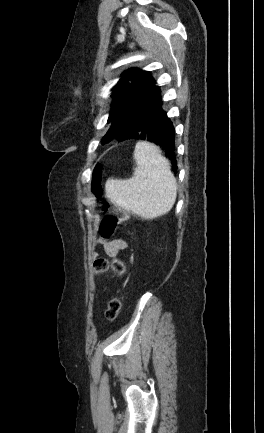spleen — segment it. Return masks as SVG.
<instances>
[{
	"instance_id": "obj_1",
	"label": "spleen",
	"mask_w": 264,
	"mask_h": 433,
	"mask_svg": "<svg viewBox=\"0 0 264 433\" xmlns=\"http://www.w3.org/2000/svg\"><path fill=\"white\" fill-rule=\"evenodd\" d=\"M136 167L129 179H108L106 197L121 209L153 219L167 214L177 197V183L169 161L149 142H137Z\"/></svg>"
}]
</instances>
